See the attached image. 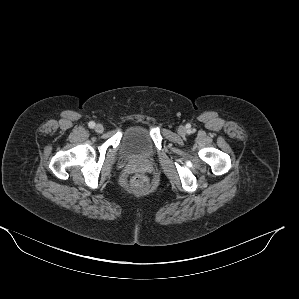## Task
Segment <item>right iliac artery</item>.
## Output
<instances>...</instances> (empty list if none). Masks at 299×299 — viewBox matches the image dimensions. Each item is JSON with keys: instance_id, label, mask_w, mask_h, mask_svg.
I'll return each mask as SVG.
<instances>
[{"instance_id": "82829eb1", "label": "right iliac artery", "mask_w": 299, "mask_h": 299, "mask_svg": "<svg viewBox=\"0 0 299 299\" xmlns=\"http://www.w3.org/2000/svg\"><path fill=\"white\" fill-rule=\"evenodd\" d=\"M88 126H89L90 128H94L95 123H94L93 121H91V122H89Z\"/></svg>"}]
</instances>
